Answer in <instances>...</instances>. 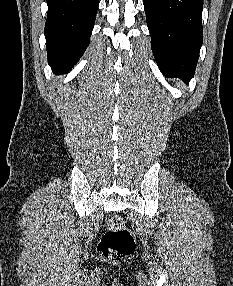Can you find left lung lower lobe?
<instances>
[{"instance_id":"left-lung-lower-lobe-1","label":"left lung lower lobe","mask_w":233,"mask_h":286,"mask_svg":"<svg viewBox=\"0 0 233 286\" xmlns=\"http://www.w3.org/2000/svg\"><path fill=\"white\" fill-rule=\"evenodd\" d=\"M151 46L165 76L193 77L203 42V0H143Z\"/></svg>"}]
</instances>
